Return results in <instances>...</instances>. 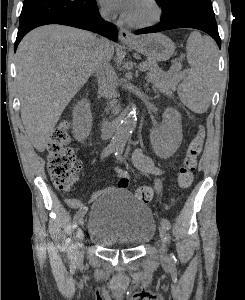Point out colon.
Instances as JSON below:
<instances>
[{
	"instance_id": "colon-1",
	"label": "colon",
	"mask_w": 245,
	"mask_h": 300,
	"mask_svg": "<svg viewBox=\"0 0 245 300\" xmlns=\"http://www.w3.org/2000/svg\"><path fill=\"white\" fill-rule=\"evenodd\" d=\"M204 139L205 129L203 126H199L178 173L177 181L182 189L190 187L193 182L194 170L203 148ZM69 143L70 135L67 125L61 124L54 129L47 145L48 172L54 186L62 192H66L72 187L81 170V163L75 156ZM135 193L136 197L145 203L150 202L153 198V190L149 186L139 187Z\"/></svg>"
}]
</instances>
